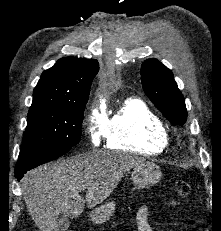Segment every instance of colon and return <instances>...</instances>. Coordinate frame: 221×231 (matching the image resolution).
<instances>
[{
  "mask_svg": "<svg viewBox=\"0 0 221 231\" xmlns=\"http://www.w3.org/2000/svg\"><path fill=\"white\" fill-rule=\"evenodd\" d=\"M178 195L186 197L191 194L192 188L189 183L185 181H177L175 184Z\"/></svg>",
  "mask_w": 221,
  "mask_h": 231,
  "instance_id": "colon-1",
  "label": "colon"
}]
</instances>
